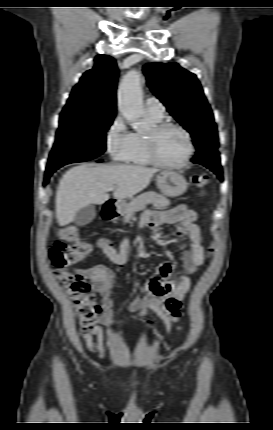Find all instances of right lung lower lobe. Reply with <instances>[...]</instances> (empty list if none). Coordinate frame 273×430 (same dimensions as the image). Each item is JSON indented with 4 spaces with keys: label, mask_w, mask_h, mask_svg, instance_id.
Here are the masks:
<instances>
[{
    "label": "right lung lower lobe",
    "mask_w": 273,
    "mask_h": 430,
    "mask_svg": "<svg viewBox=\"0 0 273 430\" xmlns=\"http://www.w3.org/2000/svg\"><path fill=\"white\" fill-rule=\"evenodd\" d=\"M56 171V170H55ZM54 171H49L45 174V183L49 181L50 176L52 175Z\"/></svg>",
    "instance_id": "98d812e1"
}]
</instances>
